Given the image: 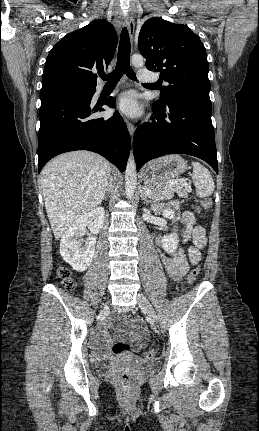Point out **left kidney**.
<instances>
[{
  "label": "left kidney",
  "mask_w": 259,
  "mask_h": 431,
  "mask_svg": "<svg viewBox=\"0 0 259 431\" xmlns=\"http://www.w3.org/2000/svg\"><path fill=\"white\" fill-rule=\"evenodd\" d=\"M163 216L168 219H174L175 218V212L173 210L165 209L163 210ZM162 247L163 249L169 253L172 254L174 251H176L177 245H178V238L176 233H172L170 235H166L162 238Z\"/></svg>",
  "instance_id": "obj_1"
}]
</instances>
